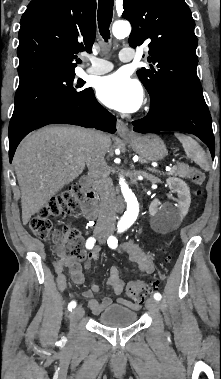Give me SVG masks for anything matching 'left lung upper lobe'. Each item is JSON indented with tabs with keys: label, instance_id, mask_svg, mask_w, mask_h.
I'll return each mask as SVG.
<instances>
[{
	"label": "left lung upper lobe",
	"instance_id": "5c2ea615",
	"mask_svg": "<svg viewBox=\"0 0 221 379\" xmlns=\"http://www.w3.org/2000/svg\"><path fill=\"white\" fill-rule=\"evenodd\" d=\"M123 8L132 25L130 46L150 42L148 62L155 67L137 71L150 96L161 89L203 96L195 22L185 0H123Z\"/></svg>",
	"mask_w": 221,
	"mask_h": 379
}]
</instances>
